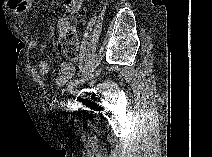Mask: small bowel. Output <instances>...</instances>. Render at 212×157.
Listing matches in <instances>:
<instances>
[{
  "label": "small bowel",
  "instance_id": "1",
  "mask_svg": "<svg viewBox=\"0 0 212 157\" xmlns=\"http://www.w3.org/2000/svg\"><path fill=\"white\" fill-rule=\"evenodd\" d=\"M7 5L9 9L16 13H24L26 10L25 4L22 0H8ZM81 2L79 0H67L66 10L68 13L76 12L79 10ZM57 31L59 33L65 31L70 27L69 17L67 15H62L57 20ZM38 46L37 40H30L29 47L35 49ZM75 71V66L70 62H63L59 65L58 76L55 80V87L57 89H63L68 81L73 77ZM49 72V63L47 60H40L37 66V73L40 76H44Z\"/></svg>",
  "mask_w": 212,
  "mask_h": 157
}]
</instances>
